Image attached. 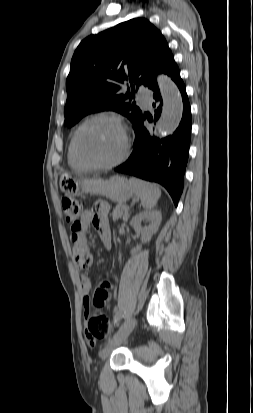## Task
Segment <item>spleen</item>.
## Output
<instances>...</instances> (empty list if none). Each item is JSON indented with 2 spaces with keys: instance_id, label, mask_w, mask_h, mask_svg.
Wrapping results in <instances>:
<instances>
[{
  "instance_id": "obj_1",
  "label": "spleen",
  "mask_w": 253,
  "mask_h": 413,
  "mask_svg": "<svg viewBox=\"0 0 253 413\" xmlns=\"http://www.w3.org/2000/svg\"><path fill=\"white\" fill-rule=\"evenodd\" d=\"M129 182L135 194L141 199L144 208L152 209L156 206L161 196V190L157 185L133 177L130 178Z\"/></svg>"
}]
</instances>
